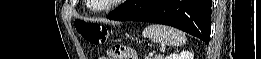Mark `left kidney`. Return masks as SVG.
<instances>
[{
	"instance_id": "5707ae66",
	"label": "left kidney",
	"mask_w": 261,
	"mask_h": 59,
	"mask_svg": "<svg viewBox=\"0 0 261 59\" xmlns=\"http://www.w3.org/2000/svg\"><path fill=\"white\" fill-rule=\"evenodd\" d=\"M165 59H194V54L189 51H183L179 54H170L166 56Z\"/></svg>"
}]
</instances>
